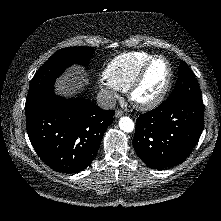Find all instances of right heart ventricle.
Wrapping results in <instances>:
<instances>
[{"mask_svg": "<svg viewBox=\"0 0 221 221\" xmlns=\"http://www.w3.org/2000/svg\"><path fill=\"white\" fill-rule=\"evenodd\" d=\"M153 55L146 52H128L112 59L103 71L104 79L120 91H127L140 68Z\"/></svg>", "mask_w": 221, "mask_h": 221, "instance_id": "e07e8e85", "label": "right heart ventricle"}]
</instances>
